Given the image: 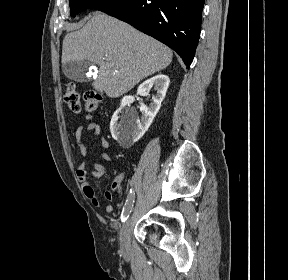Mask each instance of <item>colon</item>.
<instances>
[{
  "instance_id": "1",
  "label": "colon",
  "mask_w": 288,
  "mask_h": 280,
  "mask_svg": "<svg viewBox=\"0 0 288 280\" xmlns=\"http://www.w3.org/2000/svg\"><path fill=\"white\" fill-rule=\"evenodd\" d=\"M102 97L99 93L89 90L84 94L83 106L87 113H93L99 106ZM65 101L73 113H80L82 110V101L79 91L73 84H68L65 92ZM120 183L114 184V191H119Z\"/></svg>"
}]
</instances>
